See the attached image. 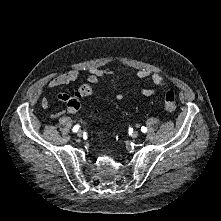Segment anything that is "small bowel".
I'll return each mask as SVG.
<instances>
[{
  "label": "small bowel",
  "instance_id": "c3829d8e",
  "mask_svg": "<svg viewBox=\"0 0 221 221\" xmlns=\"http://www.w3.org/2000/svg\"><path fill=\"white\" fill-rule=\"evenodd\" d=\"M121 72H125V70H123ZM116 74L117 73L113 70L99 69L96 67H92L88 71L87 80H88L89 84H83L79 87V89L84 85L96 84L106 76L110 77L111 84H115L116 83ZM79 75H80V73L76 69H72L67 72L58 74L48 81L47 87L50 89H54V88H57V87H60L63 85L70 84V83L76 81L78 79ZM133 77L136 79H140V80H147V81L153 83L154 85H156L157 87L163 86L165 84V79L162 75L154 73V72L147 70V69H142V70L135 72L133 74ZM79 89L76 90L73 94L57 93L56 99L60 102L65 103L67 105L68 110L70 112H73V111H75V109L72 106V100H73V98L78 96ZM140 93L143 96L150 97V96L154 95L155 89L143 88L140 90ZM123 98H124V94H122V93H119L116 95V99L119 101L122 100ZM41 106L43 109H48L50 106L49 100L47 98H43L41 101ZM61 114H62L61 111H55V112L51 113L50 116H51V118H57V117L61 116Z\"/></svg>",
  "mask_w": 221,
  "mask_h": 221
}]
</instances>
